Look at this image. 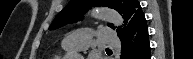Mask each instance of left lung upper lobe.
Here are the masks:
<instances>
[{
  "instance_id": "obj_1",
  "label": "left lung upper lobe",
  "mask_w": 193,
  "mask_h": 59,
  "mask_svg": "<svg viewBox=\"0 0 193 59\" xmlns=\"http://www.w3.org/2000/svg\"><path fill=\"white\" fill-rule=\"evenodd\" d=\"M91 6H107L117 10L122 14L125 25L129 23L136 12H142L137 0H71L67 6L57 14L53 20L50 29L59 28L67 23H73L83 18L85 10ZM109 27L114 29L112 24ZM127 27V26H126ZM125 28H118V36L121 35Z\"/></svg>"
}]
</instances>
